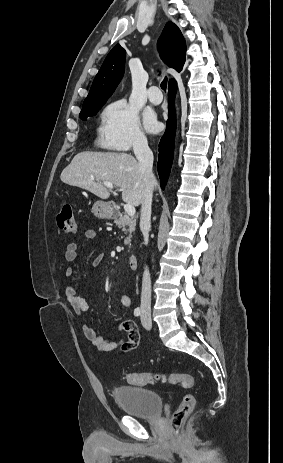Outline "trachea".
Masks as SVG:
<instances>
[{"instance_id": "1", "label": "trachea", "mask_w": 283, "mask_h": 463, "mask_svg": "<svg viewBox=\"0 0 283 463\" xmlns=\"http://www.w3.org/2000/svg\"><path fill=\"white\" fill-rule=\"evenodd\" d=\"M160 86H161V88H162L164 91H166V87H167V77H165V78L163 79V81L161 82V85H160Z\"/></svg>"}]
</instances>
